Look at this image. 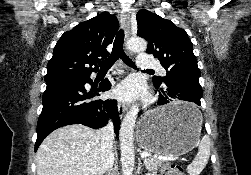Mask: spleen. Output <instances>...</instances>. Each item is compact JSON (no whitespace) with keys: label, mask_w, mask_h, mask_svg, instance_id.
Instances as JSON below:
<instances>
[{"label":"spleen","mask_w":251,"mask_h":175,"mask_svg":"<svg viewBox=\"0 0 251 175\" xmlns=\"http://www.w3.org/2000/svg\"><path fill=\"white\" fill-rule=\"evenodd\" d=\"M195 113L196 115H200V117H202L199 109H195ZM209 155H210V137L209 135H203L198 145V153L196 157H194L192 163H189L187 167L189 175H199L202 169H204L205 165H207Z\"/></svg>","instance_id":"spleen-1"}]
</instances>
